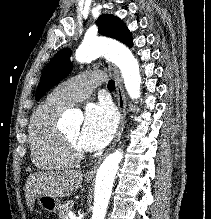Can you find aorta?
Listing matches in <instances>:
<instances>
[{
  "label": "aorta",
  "mask_w": 211,
  "mask_h": 219,
  "mask_svg": "<svg viewBox=\"0 0 211 219\" xmlns=\"http://www.w3.org/2000/svg\"><path fill=\"white\" fill-rule=\"evenodd\" d=\"M104 56L122 73L125 88L132 99L140 97L141 76L139 65L131 51L117 43H109L100 39L84 40L75 53L78 62L83 63ZM70 114H68V117ZM76 123L81 122L80 116H71ZM121 150L109 154L98 168L95 180L94 207L91 219H105L113 183L122 160Z\"/></svg>",
  "instance_id": "1"
}]
</instances>
